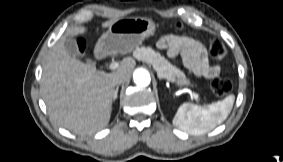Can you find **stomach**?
<instances>
[{
	"mask_svg": "<svg viewBox=\"0 0 283 162\" xmlns=\"http://www.w3.org/2000/svg\"><path fill=\"white\" fill-rule=\"evenodd\" d=\"M156 23L147 17H130L116 20L99 39L96 53H128L138 48L143 40L155 34ZM178 86H188L190 81L185 77L174 80Z\"/></svg>",
	"mask_w": 283,
	"mask_h": 162,
	"instance_id": "1",
	"label": "stomach"
}]
</instances>
